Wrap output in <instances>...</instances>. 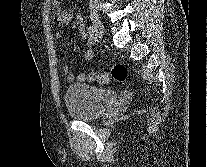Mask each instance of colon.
Here are the masks:
<instances>
[{
	"label": "colon",
	"instance_id": "1",
	"mask_svg": "<svg viewBox=\"0 0 207 167\" xmlns=\"http://www.w3.org/2000/svg\"><path fill=\"white\" fill-rule=\"evenodd\" d=\"M128 70L124 64H115L108 71L90 72L87 78L91 82L106 84L110 79L123 83L127 80Z\"/></svg>",
	"mask_w": 207,
	"mask_h": 167
}]
</instances>
